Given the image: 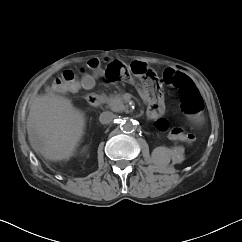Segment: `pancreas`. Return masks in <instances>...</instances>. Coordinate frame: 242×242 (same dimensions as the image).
Segmentation results:
<instances>
[{
    "instance_id": "1",
    "label": "pancreas",
    "mask_w": 242,
    "mask_h": 242,
    "mask_svg": "<svg viewBox=\"0 0 242 242\" xmlns=\"http://www.w3.org/2000/svg\"><path fill=\"white\" fill-rule=\"evenodd\" d=\"M104 100L108 104V107L114 112H121L125 109V99L123 98V94L117 95H104Z\"/></svg>"
}]
</instances>
